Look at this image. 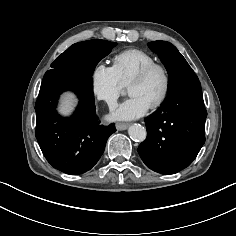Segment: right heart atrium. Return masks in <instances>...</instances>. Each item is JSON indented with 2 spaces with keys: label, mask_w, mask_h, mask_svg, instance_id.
Wrapping results in <instances>:
<instances>
[{
  "label": "right heart atrium",
  "mask_w": 236,
  "mask_h": 236,
  "mask_svg": "<svg viewBox=\"0 0 236 236\" xmlns=\"http://www.w3.org/2000/svg\"><path fill=\"white\" fill-rule=\"evenodd\" d=\"M89 79L93 96L114 107L125 88L114 67L98 63L92 68Z\"/></svg>",
  "instance_id": "1"
}]
</instances>
